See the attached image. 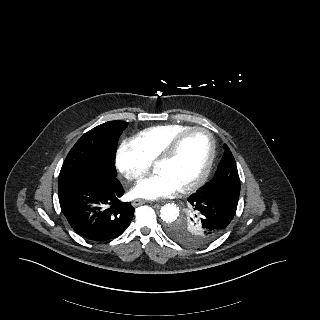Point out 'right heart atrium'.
I'll return each mask as SVG.
<instances>
[{"label":"right heart atrium","mask_w":320,"mask_h":320,"mask_svg":"<svg viewBox=\"0 0 320 320\" xmlns=\"http://www.w3.org/2000/svg\"><path fill=\"white\" fill-rule=\"evenodd\" d=\"M116 164L121 174L130 181L139 179L148 170L146 161L134 140H124L118 148Z\"/></svg>","instance_id":"right-heart-atrium-1"}]
</instances>
